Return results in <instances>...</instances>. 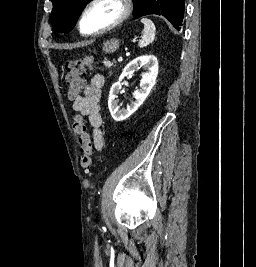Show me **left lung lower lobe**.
Instances as JSON below:
<instances>
[{
	"label": "left lung lower lobe",
	"mask_w": 256,
	"mask_h": 267,
	"mask_svg": "<svg viewBox=\"0 0 256 267\" xmlns=\"http://www.w3.org/2000/svg\"><path fill=\"white\" fill-rule=\"evenodd\" d=\"M184 0H175V19L173 26L177 29L180 30L182 26V21L184 18Z\"/></svg>",
	"instance_id": "1"
}]
</instances>
